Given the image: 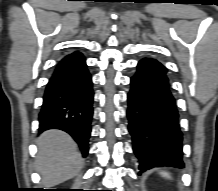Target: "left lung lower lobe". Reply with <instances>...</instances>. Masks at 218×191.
<instances>
[{
  "mask_svg": "<svg viewBox=\"0 0 218 191\" xmlns=\"http://www.w3.org/2000/svg\"><path fill=\"white\" fill-rule=\"evenodd\" d=\"M167 69L155 59H142L128 93V130L139 173L153 167L183 168L182 133Z\"/></svg>",
  "mask_w": 218,
  "mask_h": 191,
  "instance_id": "1",
  "label": "left lung lower lobe"
}]
</instances>
